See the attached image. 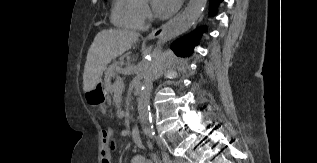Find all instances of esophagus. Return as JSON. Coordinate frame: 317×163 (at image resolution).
Instances as JSON below:
<instances>
[{
  "label": "esophagus",
  "mask_w": 317,
  "mask_h": 163,
  "mask_svg": "<svg viewBox=\"0 0 317 163\" xmlns=\"http://www.w3.org/2000/svg\"><path fill=\"white\" fill-rule=\"evenodd\" d=\"M178 18V15H176L174 18L170 19L166 23L162 24L160 27L152 30L146 37V40H154L156 38H159L164 34V32L175 22V20Z\"/></svg>",
  "instance_id": "obj_1"
}]
</instances>
